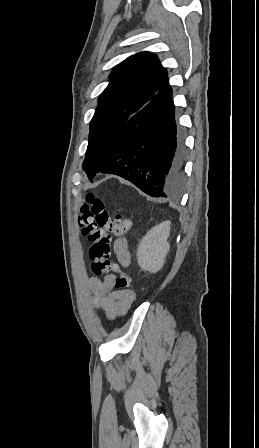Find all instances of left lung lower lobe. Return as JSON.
<instances>
[{"mask_svg": "<svg viewBox=\"0 0 259 448\" xmlns=\"http://www.w3.org/2000/svg\"><path fill=\"white\" fill-rule=\"evenodd\" d=\"M172 93L167 77L152 99L130 114L91 161V182L102 172L119 175L152 197H167L178 189L186 152Z\"/></svg>", "mask_w": 259, "mask_h": 448, "instance_id": "obj_1", "label": "left lung lower lobe"}]
</instances>
